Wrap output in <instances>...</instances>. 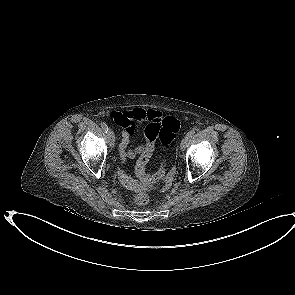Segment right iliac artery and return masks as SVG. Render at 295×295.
I'll use <instances>...</instances> for the list:
<instances>
[{"mask_svg":"<svg viewBox=\"0 0 295 295\" xmlns=\"http://www.w3.org/2000/svg\"><path fill=\"white\" fill-rule=\"evenodd\" d=\"M101 127L106 133L108 132V126L106 125V123L101 122Z\"/></svg>","mask_w":295,"mask_h":295,"instance_id":"82829eb1","label":"right iliac artery"}]
</instances>
